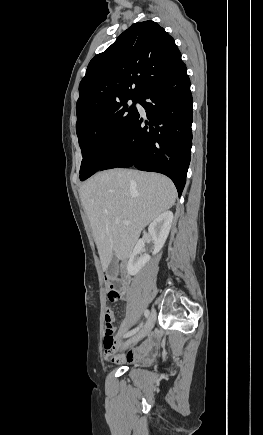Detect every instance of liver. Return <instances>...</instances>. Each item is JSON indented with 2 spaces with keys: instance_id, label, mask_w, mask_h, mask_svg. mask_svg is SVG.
Listing matches in <instances>:
<instances>
[{
  "instance_id": "6515ba94",
  "label": "liver",
  "mask_w": 263,
  "mask_h": 435,
  "mask_svg": "<svg viewBox=\"0 0 263 435\" xmlns=\"http://www.w3.org/2000/svg\"><path fill=\"white\" fill-rule=\"evenodd\" d=\"M79 194L103 270L113 256L127 260L143 228L170 209L177 197L166 176L120 168L96 173L82 184Z\"/></svg>"
}]
</instances>
